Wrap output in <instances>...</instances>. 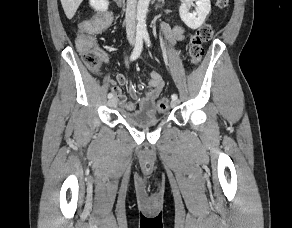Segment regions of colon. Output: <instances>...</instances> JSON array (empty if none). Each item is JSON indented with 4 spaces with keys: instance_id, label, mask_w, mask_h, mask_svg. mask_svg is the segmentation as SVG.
Returning a JSON list of instances; mask_svg holds the SVG:
<instances>
[{
    "instance_id": "obj_1",
    "label": "colon",
    "mask_w": 292,
    "mask_h": 228,
    "mask_svg": "<svg viewBox=\"0 0 292 228\" xmlns=\"http://www.w3.org/2000/svg\"><path fill=\"white\" fill-rule=\"evenodd\" d=\"M229 0H217L220 8H226ZM112 22L109 14H104L100 18L84 23L81 26V32L76 39V45L81 53L84 64L92 71H97L101 65L102 54L97 46L93 34L107 28ZM214 35L211 25L205 24L198 28L190 37L188 56L193 65L200 63L204 56L203 44L210 41ZM170 106L168 97H162L157 102L159 112L166 111Z\"/></svg>"
}]
</instances>
